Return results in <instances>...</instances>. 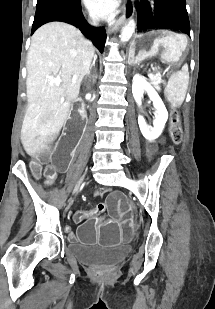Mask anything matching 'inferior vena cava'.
Here are the masks:
<instances>
[{
  "label": "inferior vena cava",
  "mask_w": 215,
  "mask_h": 309,
  "mask_svg": "<svg viewBox=\"0 0 215 309\" xmlns=\"http://www.w3.org/2000/svg\"><path fill=\"white\" fill-rule=\"evenodd\" d=\"M91 24H94V26H97V24H98L97 18H93Z\"/></svg>",
  "instance_id": "obj_1"
}]
</instances>
